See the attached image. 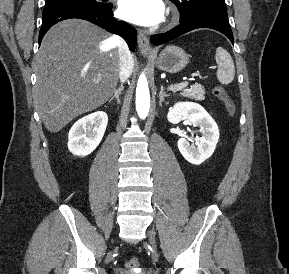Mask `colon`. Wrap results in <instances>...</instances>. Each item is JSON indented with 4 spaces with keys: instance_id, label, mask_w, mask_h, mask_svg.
<instances>
[{
    "instance_id": "1",
    "label": "colon",
    "mask_w": 289,
    "mask_h": 274,
    "mask_svg": "<svg viewBox=\"0 0 289 274\" xmlns=\"http://www.w3.org/2000/svg\"><path fill=\"white\" fill-rule=\"evenodd\" d=\"M213 93L215 97L224 104L228 114L233 116L235 113V104L227 92L222 87H215ZM127 268L132 271H138L140 268L139 260L137 258L129 259Z\"/></svg>"
}]
</instances>
